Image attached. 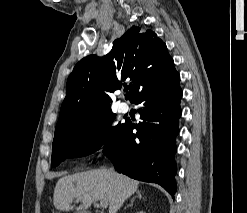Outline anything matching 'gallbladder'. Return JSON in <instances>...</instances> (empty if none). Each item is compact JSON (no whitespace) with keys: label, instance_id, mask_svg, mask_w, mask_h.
I'll use <instances>...</instances> for the list:
<instances>
[{"label":"gallbladder","instance_id":"gallbladder-1","mask_svg":"<svg viewBox=\"0 0 247 213\" xmlns=\"http://www.w3.org/2000/svg\"><path fill=\"white\" fill-rule=\"evenodd\" d=\"M78 213H88V212H85V211H81V212H78Z\"/></svg>","mask_w":247,"mask_h":213}]
</instances>
